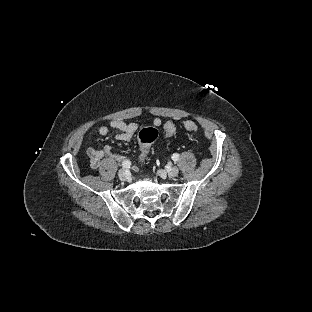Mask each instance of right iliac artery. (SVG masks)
<instances>
[{
	"mask_svg": "<svg viewBox=\"0 0 312 312\" xmlns=\"http://www.w3.org/2000/svg\"><path fill=\"white\" fill-rule=\"evenodd\" d=\"M130 165H131V162H130L129 160H124V161L122 162V166H123V168H125V169L130 168Z\"/></svg>",
	"mask_w": 312,
	"mask_h": 312,
	"instance_id": "right-iliac-artery-1",
	"label": "right iliac artery"
}]
</instances>
